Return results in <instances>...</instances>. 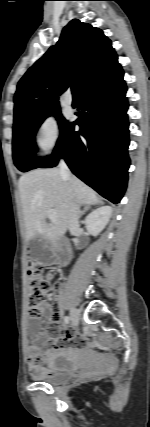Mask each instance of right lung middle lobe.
<instances>
[{"label":"right lung middle lobe","mask_w":150,"mask_h":427,"mask_svg":"<svg viewBox=\"0 0 150 427\" xmlns=\"http://www.w3.org/2000/svg\"><path fill=\"white\" fill-rule=\"evenodd\" d=\"M50 115L58 119L61 132L67 125V121L61 117L59 106L52 107L32 116L26 117L14 123L13 126V159L16 167L26 172L39 167L45 159L35 156V133L41 123Z\"/></svg>","instance_id":"dd1d6c3e"}]
</instances>
